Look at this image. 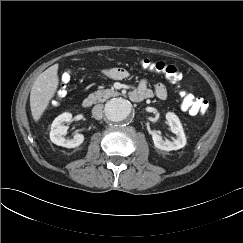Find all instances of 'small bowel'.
I'll return each instance as SVG.
<instances>
[{
	"label": "small bowel",
	"instance_id": "1",
	"mask_svg": "<svg viewBox=\"0 0 243 243\" xmlns=\"http://www.w3.org/2000/svg\"><path fill=\"white\" fill-rule=\"evenodd\" d=\"M102 75L112 79H126L129 76V73L124 68L114 67L103 70ZM133 93L143 96L144 99L156 96L163 100L166 99L168 95L167 88L164 84L158 83L155 85L154 90H152L148 87L147 81L144 79L139 82L137 89L133 91Z\"/></svg>",
	"mask_w": 243,
	"mask_h": 243
}]
</instances>
